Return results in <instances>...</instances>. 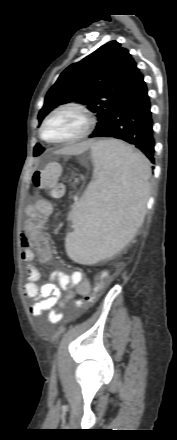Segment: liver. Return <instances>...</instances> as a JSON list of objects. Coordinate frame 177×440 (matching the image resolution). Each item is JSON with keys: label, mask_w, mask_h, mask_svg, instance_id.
Segmentation results:
<instances>
[{"label": "liver", "mask_w": 177, "mask_h": 440, "mask_svg": "<svg viewBox=\"0 0 177 440\" xmlns=\"http://www.w3.org/2000/svg\"><path fill=\"white\" fill-rule=\"evenodd\" d=\"M93 146V141H84L72 146L65 147L59 151L61 154L65 155H77L86 151L89 147Z\"/></svg>", "instance_id": "1"}]
</instances>
